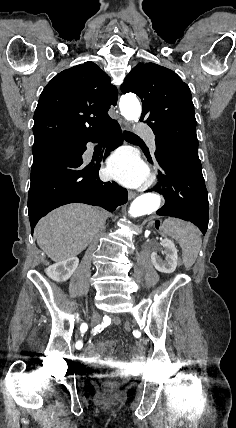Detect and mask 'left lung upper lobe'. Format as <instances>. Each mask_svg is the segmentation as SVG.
Masks as SVG:
<instances>
[{
    "mask_svg": "<svg viewBox=\"0 0 236 428\" xmlns=\"http://www.w3.org/2000/svg\"><path fill=\"white\" fill-rule=\"evenodd\" d=\"M121 90L141 98L140 120L156 135V159L169 148L199 158L191 92L175 72L155 63H138L126 76Z\"/></svg>",
    "mask_w": 236,
    "mask_h": 428,
    "instance_id": "obj_1",
    "label": "left lung upper lobe"
}]
</instances>
